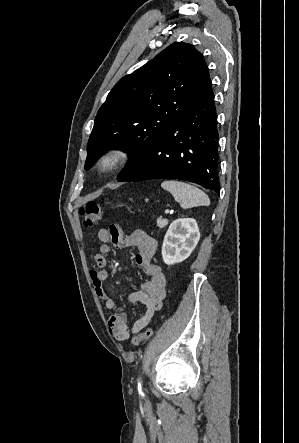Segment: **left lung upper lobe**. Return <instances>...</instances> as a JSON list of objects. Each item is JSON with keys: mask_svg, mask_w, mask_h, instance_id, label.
Here are the masks:
<instances>
[{"mask_svg": "<svg viewBox=\"0 0 299 443\" xmlns=\"http://www.w3.org/2000/svg\"><path fill=\"white\" fill-rule=\"evenodd\" d=\"M210 82L201 53L182 42L124 76L97 113L85 169L107 150L118 148L129 155L119 178L128 173Z\"/></svg>", "mask_w": 299, "mask_h": 443, "instance_id": "1", "label": "left lung upper lobe"}]
</instances>
